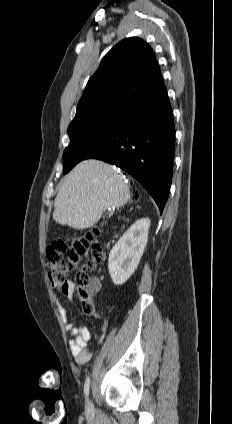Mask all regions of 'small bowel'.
I'll return each instance as SVG.
<instances>
[{
  "label": "small bowel",
  "mask_w": 232,
  "mask_h": 424,
  "mask_svg": "<svg viewBox=\"0 0 232 424\" xmlns=\"http://www.w3.org/2000/svg\"><path fill=\"white\" fill-rule=\"evenodd\" d=\"M95 280V293L99 292L101 289V282L98 279ZM63 296L69 297L74 290V284L72 281H66L65 283L59 286ZM56 301L58 304L59 313L63 319L64 325L72 333L73 339L70 342V350L79 364L87 363L91 358V351L88 347V342L90 340V330L85 326H76V324L71 321L68 317L66 307L61 303L58 296H56ZM105 333V327L102 329V334L98 340L101 342Z\"/></svg>",
  "instance_id": "obj_1"
}]
</instances>
